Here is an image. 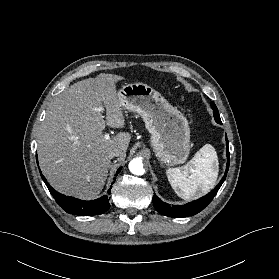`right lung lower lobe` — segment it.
Listing matches in <instances>:
<instances>
[{
	"instance_id": "right-lung-lower-lobe-1",
	"label": "right lung lower lobe",
	"mask_w": 279,
	"mask_h": 279,
	"mask_svg": "<svg viewBox=\"0 0 279 279\" xmlns=\"http://www.w3.org/2000/svg\"><path fill=\"white\" fill-rule=\"evenodd\" d=\"M37 160V158H36ZM121 168L117 170V173L120 172ZM41 173V172H40ZM43 181L48 187L50 193L56 200L59 206L62 207L67 213H71L79 216H88V215H100L105 213L109 209V199L107 195H104L96 200L92 201H83L76 199L74 197L65 196L57 191H55L48 183L46 178L41 174ZM110 194V189L108 190Z\"/></svg>"
}]
</instances>
